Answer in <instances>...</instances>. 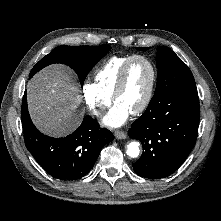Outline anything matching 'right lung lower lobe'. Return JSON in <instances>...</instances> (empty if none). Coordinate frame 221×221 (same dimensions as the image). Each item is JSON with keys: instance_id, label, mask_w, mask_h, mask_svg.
<instances>
[{"instance_id": "98d812e1", "label": "right lung lower lobe", "mask_w": 221, "mask_h": 221, "mask_svg": "<svg viewBox=\"0 0 221 221\" xmlns=\"http://www.w3.org/2000/svg\"><path fill=\"white\" fill-rule=\"evenodd\" d=\"M21 121L28 151L47 173L61 180H76L87 175L102 147L113 140L112 133L100 128L90 116H85L82 124L64 138L42 134L29 116L26 92L22 101Z\"/></svg>"}]
</instances>
